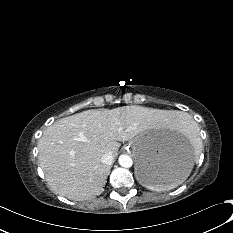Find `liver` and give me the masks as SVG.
<instances>
[{
  "mask_svg": "<svg viewBox=\"0 0 233 233\" xmlns=\"http://www.w3.org/2000/svg\"><path fill=\"white\" fill-rule=\"evenodd\" d=\"M184 113L137 105L92 109L61 118L38 141V161L50 188L58 195L83 201L103 191L109 166L107 152L117 156L120 142L148 129H164Z\"/></svg>",
  "mask_w": 233,
  "mask_h": 233,
  "instance_id": "6515ba94",
  "label": "liver"
}]
</instances>
